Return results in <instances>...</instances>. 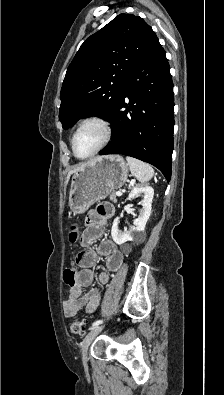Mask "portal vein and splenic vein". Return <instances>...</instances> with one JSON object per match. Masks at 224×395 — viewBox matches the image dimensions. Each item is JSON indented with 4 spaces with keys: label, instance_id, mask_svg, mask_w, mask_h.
Returning a JSON list of instances; mask_svg holds the SVG:
<instances>
[{
    "label": "portal vein and splenic vein",
    "instance_id": "18ae733b",
    "mask_svg": "<svg viewBox=\"0 0 224 395\" xmlns=\"http://www.w3.org/2000/svg\"><path fill=\"white\" fill-rule=\"evenodd\" d=\"M116 195H117V196H121V195H122V192H121V191H117V192H116Z\"/></svg>",
    "mask_w": 224,
    "mask_h": 395
}]
</instances>
